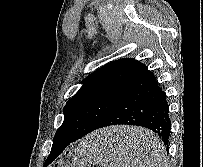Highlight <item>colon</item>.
<instances>
[{"instance_id":"1","label":"colon","mask_w":203,"mask_h":167,"mask_svg":"<svg viewBox=\"0 0 203 167\" xmlns=\"http://www.w3.org/2000/svg\"><path fill=\"white\" fill-rule=\"evenodd\" d=\"M54 167H97L88 159L79 156L73 151L66 152Z\"/></svg>"}]
</instances>
